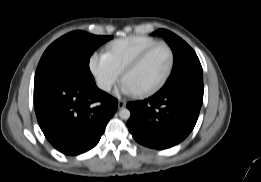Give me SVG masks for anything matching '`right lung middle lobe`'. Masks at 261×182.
Listing matches in <instances>:
<instances>
[{"instance_id": "right-lung-middle-lobe-1", "label": "right lung middle lobe", "mask_w": 261, "mask_h": 182, "mask_svg": "<svg viewBox=\"0 0 261 182\" xmlns=\"http://www.w3.org/2000/svg\"><path fill=\"white\" fill-rule=\"evenodd\" d=\"M113 36H96L73 31L53 42L42 55L35 81L56 73H67L84 86H94L89 69L92 53Z\"/></svg>"}]
</instances>
